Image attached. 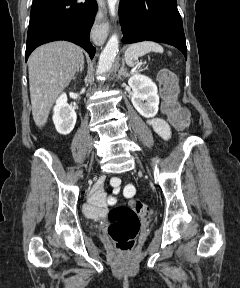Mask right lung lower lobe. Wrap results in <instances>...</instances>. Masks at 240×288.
Here are the masks:
<instances>
[{
	"label": "right lung lower lobe",
	"mask_w": 240,
	"mask_h": 288,
	"mask_svg": "<svg viewBox=\"0 0 240 288\" xmlns=\"http://www.w3.org/2000/svg\"><path fill=\"white\" fill-rule=\"evenodd\" d=\"M98 10L96 0H33L26 42V61L38 46L67 40L94 57L90 30Z\"/></svg>",
	"instance_id": "1"
}]
</instances>
